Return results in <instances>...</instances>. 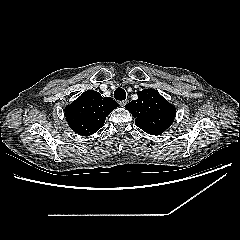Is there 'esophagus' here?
Returning <instances> with one entry per match:
<instances>
[{"label":"esophagus","instance_id":"esophagus-1","mask_svg":"<svg viewBox=\"0 0 240 240\" xmlns=\"http://www.w3.org/2000/svg\"><path fill=\"white\" fill-rule=\"evenodd\" d=\"M119 104L124 107L127 104V100H122L119 102Z\"/></svg>","mask_w":240,"mask_h":240}]
</instances>
